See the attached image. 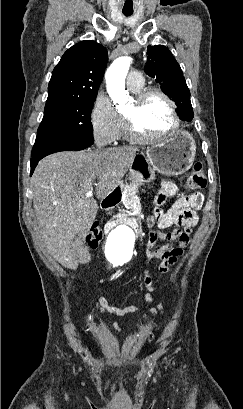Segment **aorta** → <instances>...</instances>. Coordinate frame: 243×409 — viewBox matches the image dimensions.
I'll return each instance as SVG.
<instances>
[{
  "mask_svg": "<svg viewBox=\"0 0 243 409\" xmlns=\"http://www.w3.org/2000/svg\"><path fill=\"white\" fill-rule=\"evenodd\" d=\"M132 59L128 56L119 57L113 61L105 74L107 91L115 104L124 105L128 100L125 90V78ZM135 241V233L128 225L120 224L115 227L106 240L105 252L107 258L115 261L124 255H129Z\"/></svg>",
  "mask_w": 243,
  "mask_h": 409,
  "instance_id": "762f6f07",
  "label": "aorta"
}]
</instances>
